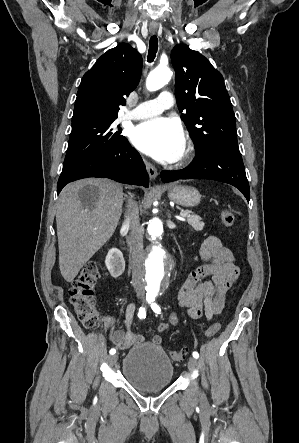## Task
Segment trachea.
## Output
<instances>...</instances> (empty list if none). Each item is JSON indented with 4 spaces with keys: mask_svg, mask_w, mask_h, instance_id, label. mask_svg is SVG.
<instances>
[{
    "mask_svg": "<svg viewBox=\"0 0 299 443\" xmlns=\"http://www.w3.org/2000/svg\"><path fill=\"white\" fill-rule=\"evenodd\" d=\"M157 50H158V38L157 36L153 35L149 41V50L147 56L148 62H153V60L156 57Z\"/></svg>",
    "mask_w": 299,
    "mask_h": 443,
    "instance_id": "obj_1",
    "label": "trachea"
}]
</instances>
